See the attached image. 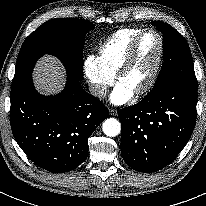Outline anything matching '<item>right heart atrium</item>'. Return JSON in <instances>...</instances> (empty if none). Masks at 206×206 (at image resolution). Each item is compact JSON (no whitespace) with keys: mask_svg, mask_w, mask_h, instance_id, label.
<instances>
[{"mask_svg":"<svg viewBox=\"0 0 206 206\" xmlns=\"http://www.w3.org/2000/svg\"><path fill=\"white\" fill-rule=\"evenodd\" d=\"M83 70L92 95L98 99L104 98L108 88L114 83V76L107 73L94 56L85 59Z\"/></svg>","mask_w":206,"mask_h":206,"instance_id":"obj_1","label":"right heart atrium"}]
</instances>
